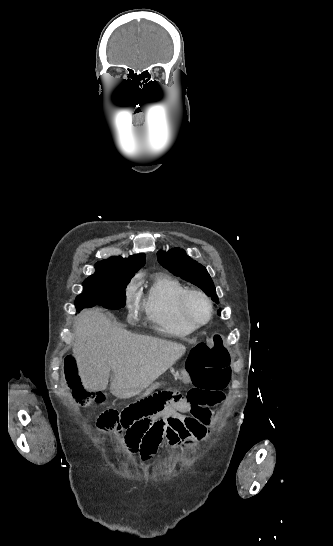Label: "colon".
<instances>
[{
    "label": "colon",
    "mask_w": 333,
    "mask_h": 546,
    "mask_svg": "<svg viewBox=\"0 0 333 546\" xmlns=\"http://www.w3.org/2000/svg\"><path fill=\"white\" fill-rule=\"evenodd\" d=\"M77 364L75 356H67L64 373L74 398L79 404L86 406L93 399L92 391L79 380ZM187 369L195 386L187 395L188 402H207L202 392L225 388L231 378L230 354L221 336L216 335L210 341L200 342L192 348ZM183 403L181 396L174 392L156 391L147 396H138L137 400H127L120 412L113 409L104 411L97 426L102 432L126 434L129 418H134L136 422H145L147 418H154L167 405L181 406Z\"/></svg>",
    "instance_id": "5ec220e1"
}]
</instances>
